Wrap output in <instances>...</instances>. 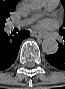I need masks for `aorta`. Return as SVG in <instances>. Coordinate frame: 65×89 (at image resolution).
<instances>
[{
	"label": "aorta",
	"mask_w": 65,
	"mask_h": 89,
	"mask_svg": "<svg viewBox=\"0 0 65 89\" xmlns=\"http://www.w3.org/2000/svg\"><path fill=\"white\" fill-rule=\"evenodd\" d=\"M29 9L36 11L42 8V0H29L27 3ZM42 50L47 55L55 54L58 50V43L54 38H46L42 42Z\"/></svg>",
	"instance_id": "762f6f07"
}]
</instances>
